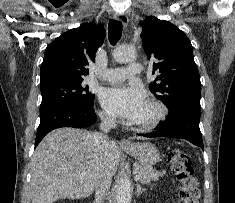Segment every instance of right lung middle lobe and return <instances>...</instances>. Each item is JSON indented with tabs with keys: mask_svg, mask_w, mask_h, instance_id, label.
I'll use <instances>...</instances> for the list:
<instances>
[{
	"mask_svg": "<svg viewBox=\"0 0 235 203\" xmlns=\"http://www.w3.org/2000/svg\"><path fill=\"white\" fill-rule=\"evenodd\" d=\"M83 79L56 81L40 85L42 102L40 111L63 103L89 105L94 95L88 92V86L82 84Z\"/></svg>",
	"mask_w": 235,
	"mask_h": 203,
	"instance_id": "obj_1",
	"label": "right lung middle lobe"
}]
</instances>
